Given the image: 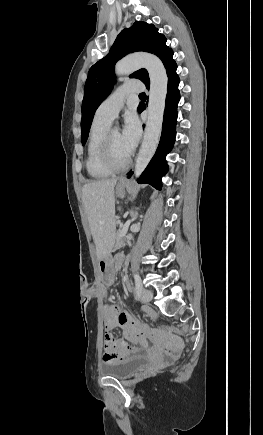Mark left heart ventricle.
I'll return each mask as SVG.
<instances>
[{"instance_id":"1","label":"left heart ventricle","mask_w":263,"mask_h":435,"mask_svg":"<svg viewBox=\"0 0 263 435\" xmlns=\"http://www.w3.org/2000/svg\"><path fill=\"white\" fill-rule=\"evenodd\" d=\"M111 148L114 159L118 163L124 162L130 154L124 147L121 139V133L118 130H113L111 132Z\"/></svg>"}]
</instances>
